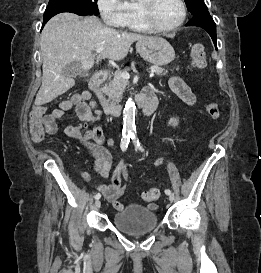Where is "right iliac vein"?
<instances>
[{
  "label": "right iliac vein",
  "instance_id": "1",
  "mask_svg": "<svg viewBox=\"0 0 261 273\" xmlns=\"http://www.w3.org/2000/svg\"><path fill=\"white\" fill-rule=\"evenodd\" d=\"M95 206H96V208H100V206H101V201H100V200H97V201L95 202Z\"/></svg>",
  "mask_w": 261,
  "mask_h": 273
}]
</instances>
